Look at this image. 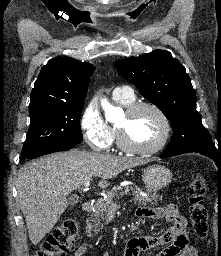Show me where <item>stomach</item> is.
Segmentation results:
<instances>
[{
  "mask_svg": "<svg viewBox=\"0 0 221 256\" xmlns=\"http://www.w3.org/2000/svg\"><path fill=\"white\" fill-rule=\"evenodd\" d=\"M142 180L150 190L165 188L172 180V172L165 166L154 164L144 169Z\"/></svg>",
  "mask_w": 221,
  "mask_h": 256,
  "instance_id": "0dacf381",
  "label": "stomach"
}]
</instances>
